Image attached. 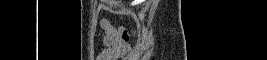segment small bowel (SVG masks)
I'll use <instances>...</instances> for the list:
<instances>
[{"label":"small bowel","mask_w":267,"mask_h":60,"mask_svg":"<svg viewBox=\"0 0 267 60\" xmlns=\"http://www.w3.org/2000/svg\"><path fill=\"white\" fill-rule=\"evenodd\" d=\"M101 26L105 30V50L100 54V60H117L127 51L131 33L124 27H114L109 20L102 19Z\"/></svg>","instance_id":"c3829d8e"}]
</instances>
